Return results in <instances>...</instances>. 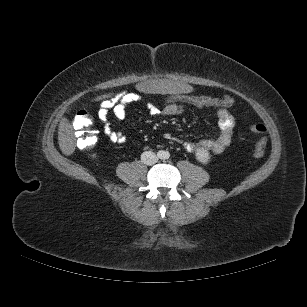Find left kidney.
Segmentation results:
<instances>
[{
	"label": "left kidney",
	"mask_w": 307,
	"mask_h": 307,
	"mask_svg": "<svg viewBox=\"0 0 307 307\" xmlns=\"http://www.w3.org/2000/svg\"><path fill=\"white\" fill-rule=\"evenodd\" d=\"M210 154L209 152L204 148H199L196 151V158L198 161L202 163H207L210 160Z\"/></svg>",
	"instance_id": "obj_1"
}]
</instances>
